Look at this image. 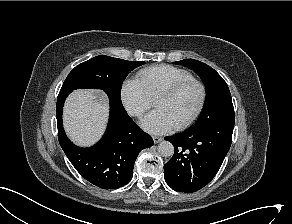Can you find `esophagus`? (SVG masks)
<instances>
[{
  "mask_svg": "<svg viewBox=\"0 0 292 224\" xmlns=\"http://www.w3.org/2000/svg\"><path fill=\"white\" fill-rule=\"evenodd\" d=\"M162 140H163L162 137H159V136H153V141H154L155 144L161 142Z\"/></svg>",
  "mask_w": 292,
  "mask_h": 224,
  "instance_id": "esophagus-1",
  "label": "esophagus"
}]
</instances>
